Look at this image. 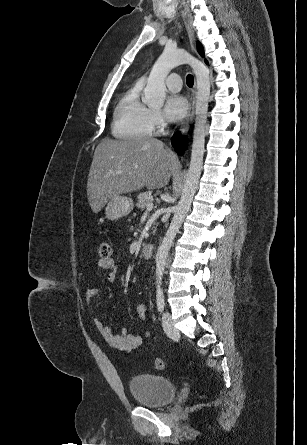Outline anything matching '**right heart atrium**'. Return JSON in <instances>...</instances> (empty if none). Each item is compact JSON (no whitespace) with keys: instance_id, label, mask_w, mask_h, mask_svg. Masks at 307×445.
Instances as JSON below:
<instances>
[{"instance_id":"right-heart-atrium-1","label":"right heart atrium","mask_w":307,"mask_h":445,"mask_svg":"<svg viewBox=\"0 0 307 445\" xmlns=\"http://www.w3.org/2000/svg\"><path fill=\"white\" fill-rule=\"evenodd\" d=\"M148 124L150 131L158 134L165 126V119L162 113L158 110H151L148 115Z\"/></svg>"}]
</instances>
